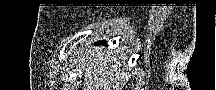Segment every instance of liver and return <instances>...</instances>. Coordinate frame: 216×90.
I'll list each match as a JSON object with an SVG mask.
<instances>
[{
  "instance_id": "1",
  "label": "liver",
  "mask_w": 216,
  "mask_h": 90,
  "mask_svg": "<svg viewBox=\"0 0 216 90\" xmlns=\"http://www.w3.org/2000/svg\"><path fill=\"white\" fill-rule=\"evenodd\" d=\"M82 50L83 54L76 56L74 62L77 72L85 76L82 90H121L125 80L120 78L118 68L128 60L127 56H115L117 52L101 54L102 48L91 50L90 46H85ZM116 74H119V78H115Z\"/></svg>"
}]
</instances>
